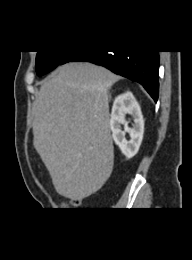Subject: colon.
Wrapping results in <instances>:
<instances>
[{
	"label": "colon",
	"instance_id": "5ec220e1",
	"mask_svg": "<svg viewBox=\"0 0 192 260\" xmlns=\"http://www.w3.org/2000/svg\"><path fill=\"white\" fill-rule=\"evenodd\" d=\"M71 204L73 205H78L79 204V200L75 199L71 201Z\"/></svg>",
	"mask_w": 192,
	"mask_h": 260
}]
</instances>
